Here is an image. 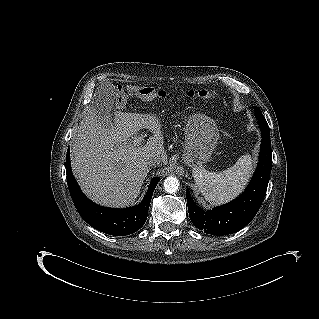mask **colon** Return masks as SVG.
<instances>
[{"mask_svg": "<svg viewBox=\"0 0 319 319\" xmlns=\"http://www.w3.org/2000/svg\"><path fill=\"white\" fill-rule=\"evenodd\" d=\"M129 95H135L143 100L151 101L155 98H163L166 96L165 91L156 90L149 85L138 86H118V92L116 97V104L119 108H123L126 104ZM189 98L211 99L213 94L207 90L194 91L190 90L186 93Z\"/></svg>", "mask_w": 319, "mask_h": 319, "instance_id": "colon-1", "label": "colon"}]
</instances>
